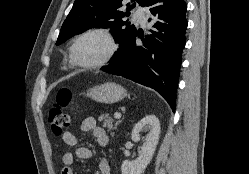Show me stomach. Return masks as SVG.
<instances>
[{"label": "stomach", "mask_w": 249, "mask_h": 174, "mask_svg": "<svg viewBox=\"0 0 249 174\" xmlns=\"http://www.w3.org/2000/svg\"><path fill=\"white\" fill-rule=\"evenodd\" d=\"M86 95L97 102L112 104L124 99L127 92L122 86L108 82L89 89Z\"/></svg>", "instance_id": "stomach-1"}]
</instances>
